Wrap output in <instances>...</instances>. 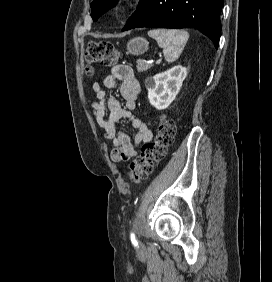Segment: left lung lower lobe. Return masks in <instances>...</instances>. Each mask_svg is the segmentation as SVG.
Returning a JSON list of instances; mask_svg holds the SVG:
<instances>
[{"label": "left lung lower lobe", "instance_id": "obj_1", "mask_svg": "<svg viewBox=\"0 0 272 282\" xmlns=\"http://www.w3.org/2000/svg\"><path fill=\"white\" fill-rule=\"evenodd\" d=\"M224 0H140L123 31L140 27H193L208 36L218 48L220 13Z\"/></svg>", "mask_w": 272, "mask_h": 282}]
</instances>
